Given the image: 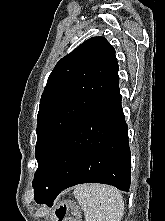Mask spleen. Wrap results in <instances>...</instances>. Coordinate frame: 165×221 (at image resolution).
Here are the masks:
<instances>
[{
    "mask_svg": "<svg viewBox=\"0 0 165 221\" xmlns=\"http://www.w3.org/2000/svg\"><path fill=\"white\" fill-rule=\"evenodd\" d=\"M86 221H120L124 212L121 193L101 184L79 185L74 190Z\"/></svg>",
    "mask_w": 165,
    "mask_h": 221,
    "instance_id": "obj_1",
    "label": "spleen"
}]
</instances>
